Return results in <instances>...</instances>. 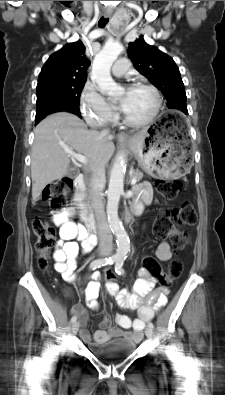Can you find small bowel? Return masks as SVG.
<instances>
[{"mask_svg": "<svg viewBox=\"0 0 225 395\" xmlns=\"http://www.w3.org/2000/svg\"><path fill=\"white\" fill-rule=\"evenodd\" d=\"M137 194L139 201L136 203L135 209L140 211L144 204H149L152 201L153 193L150 184L147 182L140 184L137 188ZM70 216L71 212L67 211L53 217L54 222L60 228L57 249L54 253V267L66 281L75 283L80 281V277L75 273L78 254L80 251L83 253L90 252L96 244V237L89 234L82 225L72 221ZM156 257L162 262L171 259L172 252L167 241L160 242L156 250ZM138 274L139 278L134 283L132 294L127 289H120L119 283L105 284V291L115 295L117 303L121 307L137 310L138 318L132 320L127 315H118V327H115L110 325V319L106 316L100 324V329L94 334L96 343L103 344L112 338H125L139 342L143 338L142 330L146 321L153 317L154 311L166 304L168 290L162 287L155 288L156 281H153V275H150L149 272L139 270ZM99 278V273L95 272L84 290L87 305L90 309L98 307L97 298L101 287ZM73 312L78 315L82 326L81 338L89 343L91 336L84 327L88 320L87 311L82 305L78 304L73 308Z\"/></svg>", "mask_w": 225, "mask_h": 395, "instance_id": "c3829d8e", "label": "small bowel"}]
</instances>
